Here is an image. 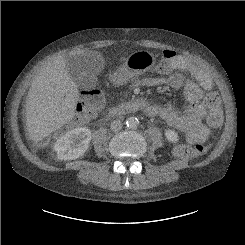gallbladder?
Returning a JSON list of instances; mask_svg holds the SVG:
<instances>
[{
	"label": "gallbladder",
	"mask_w": 245,
	"mask_h": 245,
	"mask_svg": "<svg viewBox=\"0 0 245 245\" xmlns=\"http://www.w3.org/2000/svg\"><path fill=\"white\" fill-rule=\"evenodd\" d=\"M85 56L76 55L67 58V68L77 86L84 87L95 82V74L85 66Z\"/></svg>",
	"instance_id": "1"
}]
</instances>
